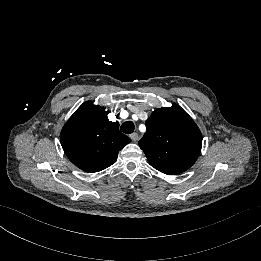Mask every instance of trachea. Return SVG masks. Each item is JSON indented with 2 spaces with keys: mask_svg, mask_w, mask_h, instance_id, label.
I'll return each mask as SVG.
<instances>
[{
  "mask_svg": "<svg viewBox=\"0 0 261 261\" xmlns=\"http://www.w3.org/2000/svg\"><path fill=\"white\" fill-rule=\"evenodd\" d=\"M135 129V125L132 121H126L124 122L121 127L120 130L125 133V134H131Z\"/></svg>",
  "mask_w": 261,
  "mask_h": 261,
  "instance_id": "1",
  "label": "trachea"
}]
</instances>
